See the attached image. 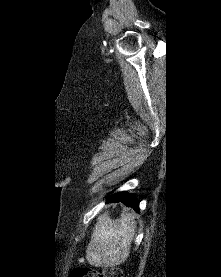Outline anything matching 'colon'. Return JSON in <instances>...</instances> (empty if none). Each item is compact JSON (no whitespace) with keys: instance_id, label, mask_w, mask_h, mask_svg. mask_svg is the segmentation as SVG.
Wrapping results in <instances>:
<instances>
[{"instance_id":"1","label":"colon","mask_w":221,"mask_h":277,"mask_svg":"<svg viewBox=\"0 0 221 277\" xmlns=\"http://www.w3.org/2000/svg\"><path fill=\"white\" fill-rule=\"evenodd\" d=\"M70 277H122V271L117 267L97 271L88 267H79L72 271Z\"/></svg>"}]
</instances>
